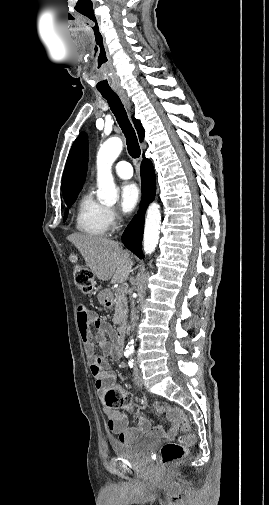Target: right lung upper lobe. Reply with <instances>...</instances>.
I'll list each match as a JSON object with an SVG mask.
<instances>
[{
    "instance_id": "1",
    "label": "right lung upper lobe",
    "mask_w": 269,
    "mask_h": 505,
    "mask_svg": "<svg viewBox=\"0 0 269 505\" xmlns=\"http://www.w3.org/2000/svg\"><path fill=\"white\" fill-rule=\"evenodd\" d=\"M132 119L137 130L139 140L142 142L145 135L144 129L138 119H135L134 117H132ZM87 163V136L85 133H81L74 141L65 165L62 179L64 200L71 198L81 190L85 181Z\"/></svg>"
}]
</instances>
